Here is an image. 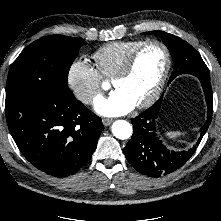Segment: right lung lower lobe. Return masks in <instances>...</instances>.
<instances>
[{
	"label": "right lung lower lobe",
	"instance_id": "right-lung-lower-lobe-1",
	"mask_svg": "<svg viewBox=\"0 0 221 221\" xmlns=\"http://www.w3.org/2000/svg\"><path fill=\"white\" fill-rule=\"evenodd\" d=\"M9 131L24 157L55 177L76 173L91 158L104 129L101 118L73 93L6 97Z\"/></svg>",
	"mask_w": 221,
	"mask_h": 221
}]
</instances>
